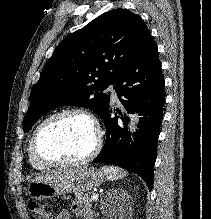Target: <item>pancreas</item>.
Wrapping results in <instances>:
<instances>
[{"label":"pancreas","instance_id":"pancreas-1","mask_svg":"<svg viewBox=\"0 0 211 219\" xmlns=\"http://www.w3.org/2000/svg\"><path fill=\"white\" fill-rule=\"evenodd\" d=\"M91 193H85V194H77L76 198L78 199L79 204H85L87 206H91L94 202V199L92 196H90Z\"/></svg>","mask_w":211,"mask_h":219}]
</instances>
